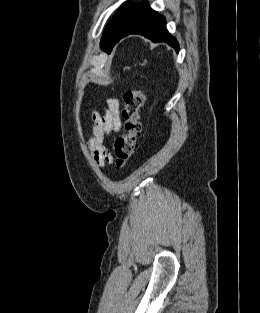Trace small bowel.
Instances as JSON below:
<instances>
[{
	"label": "small bowel",
	"instance_id": "obj_1",
	"mask_svg": "<svg viewBox=\"0 0 260 313\" xmlns=\"http://www.w3.org/2000/svg\"><path fill=\"white\" fill-rule=\"evenodd\" d=\"M103 114L92 113V129L89 133L88 145L94 162L99 167L112 162V155L106 147L107 136L121 129L120 102L116 98L106 101Z\"/></svg>",
	"mask_w": 260,
	"mask_h": 313
}]
</instances>
